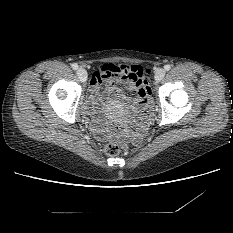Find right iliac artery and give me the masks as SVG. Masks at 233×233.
<instances>
[{
	"instance_id": "right-iliac-artery-1",
	"label": "right iliac artery",
	"mask_w": 233,
	"mask_h": 233,
	"mask_svg": "<svg viewBox=\"0 0 233 233\" xmlns=\"http://www.w3.org/2000/svg\"><path fill=\"white\" fill-rule=\"evenodd\" d=\"M71 66H72V68H73L74 70H77V69H78V65H77L76 63H73Z\"/></svg>"
}]
</instances>
